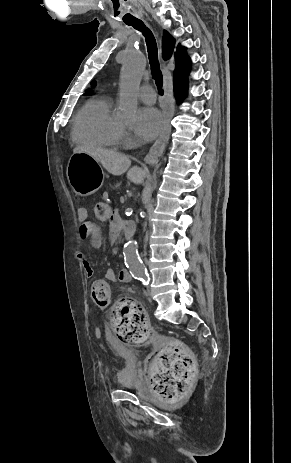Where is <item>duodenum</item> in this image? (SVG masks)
Instances as JSON below:
<instances>
[{
	"label": "duodenum",
	"instance_id": "obj_1",
	"mask_svg": "<svg viewBox=\"0 0 291 463\" xmlns=\"http://www.w3.org/2000/svg\"><path fill=\"white\" fill-rule=\"evenodd\" d=\"M117 226L120 228V232L123 231L128 237H132L135 233V225L131 220H119ZM124 270L128 275H131L128 269Z\"/></svg>",
	"mask_w": 291,
	"mask_h": 463
}]
</instances>
